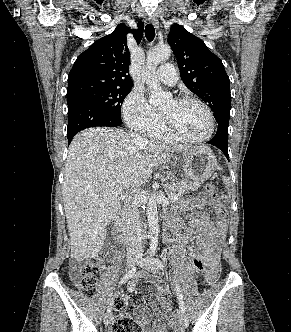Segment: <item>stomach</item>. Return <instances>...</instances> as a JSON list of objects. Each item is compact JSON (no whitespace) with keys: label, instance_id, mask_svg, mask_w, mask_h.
Listing matches in <instances>:
<instances>
[{"label":"stomach","instance_id":"1","mask_svg":"<svg viewBox=\"0 0 291 332\" xmlns=\"http://www.w3.org/2000/svg\"><path fill=\"white\" fill-rule=\"evenodd\" d=\"M173 159L183 169L185 176L194 181L207 180L217 169V160L206 146L181 150Z\"/></svg>","mask_w":291,"mask_h":332}]
</instances>
